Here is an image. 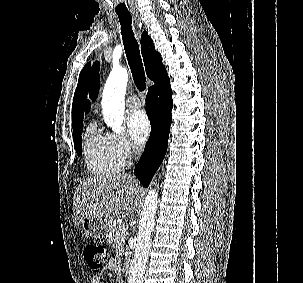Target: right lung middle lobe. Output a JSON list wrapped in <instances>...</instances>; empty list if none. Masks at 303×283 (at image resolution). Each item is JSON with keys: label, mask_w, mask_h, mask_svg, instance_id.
I'll return each mask as SVG.
<instances>
[{"label": "right lung middle lobe", "mask_w": 303, "mask_h": 283, "mask_svg": "<svg viewBox=\"0 0 303 283\" xmlns=\"http://www.w3.org/2000/svg\"><path fill=\"white\" fill-rule=\"evenodd\" d=\"M82 123L73 127L74 145L78 156L82 153Z\"/></svg>", "instance_id": "dd1d6c3e"}]
</instances>
